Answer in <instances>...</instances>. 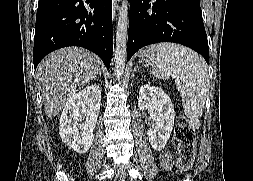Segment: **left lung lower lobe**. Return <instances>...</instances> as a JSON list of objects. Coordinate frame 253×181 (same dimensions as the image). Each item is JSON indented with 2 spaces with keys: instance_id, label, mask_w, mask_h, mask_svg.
<instances>
[{
  "instance_id": "left-lung-lower-lobe-1",
  "label": "left lung lower lobe",
  "mask_w": 253,
  "mask_h": 181,
  "mask_svg": "<svg viewBox=\"0 0 253 181\" xmlns=\"http://www.w3.org/2000/svg\"><path fill=\"white\" fill-rule=\"evenodd\" d=\"M159 42L190 47L209 64L200 0H130L127 60L140 48Z\"/></svg>"
}]
</instances>
